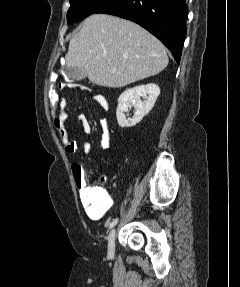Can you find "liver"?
Wrapping results in <instances>:
<instances>
[{"instance_id":"liver-1","label":"liver","mask_w":240,"mask_h":287,"mask_svg":"<svg viewBox=\"0 0 240 287\" xmlns=\"http://www.w3.org/2000/svg\"><path fill=\"white\" fill-rule=\"evenodd\" d=\"M67 67L84 68L96 85L120 88L156 75L168 65L164 45L141 26L94 14L70 40Z\"/></svg>"}]
</instances>
